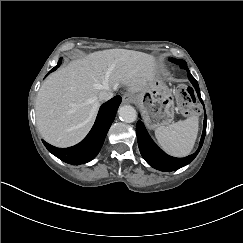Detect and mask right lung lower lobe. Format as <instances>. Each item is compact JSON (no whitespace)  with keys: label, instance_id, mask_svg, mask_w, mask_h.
<instances>
[{"label":"right lung lower lobe","instance_id":"98d812e1","mask_svg":"<svg viewBox=\"0 0 243 243\" xmlns=\"http://www.w3.org/2000/svg\"><path fill=\"white\" fill-rule=\"evenodd\" d=\"M120 103V96L104 103L91 131L79 144L65 149L56 148L43 141L44 145L53 155L66 163L80 165L91 161L99 153Z\"/></svg>","mask_w":243,"mask_h":243}]
</instances>
